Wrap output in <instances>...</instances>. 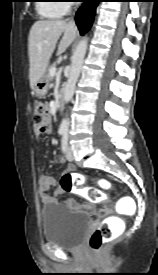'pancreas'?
Masks as SVG:
<instances>
[{
  "label": "pancreas",
  "mask_w": 158,
  "mask_h": 275,
  "mask_svg": "<svg viewBox=\"0 0 158 275\" xmlns=\"http://www.w3.org/2000/svg\"><path fill=\"white\" fill-rule=\"evenodd\" d=\"M53 67H55V64L50 65V66L48 67L47 71H46V74H47V77H48L49 81H52V79H53V77L50 75V70H51Z\"/></svg>",
  "instance_id": "1"
}]
</instances>
